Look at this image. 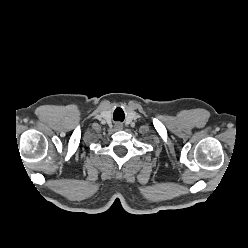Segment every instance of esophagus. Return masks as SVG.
<instances>
[{
  "label": "esophagus",
  "mask_w": 248,
  "mask_h": 248,
  "mask_svg": "<svg viewBox=\"0 0 248 248\" xmlns=\"http://www.w3.org/2000/svg\"><path fill=\"white\" fill-rule=\"evenodd\" d=\"M116 126H117L118 128H121V125H120V124H117Z\"/></svg>",
  "instance_id": "1"
}]
</instances>
